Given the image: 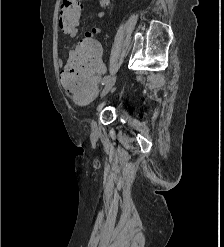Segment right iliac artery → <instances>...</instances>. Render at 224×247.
Instances as JSON below:
<instances>
[{"mask_svg":"<svg viewBox=\"0 0 224 247\" xmlns=\"http://www.w3.org/2000/svg\"><path fill=\"white\" fill-rule=\"evenodd\" d=\"M110 79V76H105L102 80V85L106 84Z\"/></svg>","mask_w":224,"mask_h":247,"instance_id":"right-iliac-artery-1","label":"right iliac artery"}]
</instances>
